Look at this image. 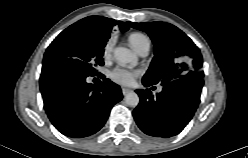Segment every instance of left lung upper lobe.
Wrapping results in <instances>:
<instances>
[{
    "label": "left lung upper lobe",
    "instance_id": "5c2ea615",
    "mask_svg": "<svg viewBox=\"0 0 248 158\" xmlns=\"http://www.w3.org/2000/svg\"><path fill=\"white\" fill-rule=\"evenodd\" d=\"M146 32L154 43V58L143 79L153 84L183 78H201L203 57L194 42L176 26L165 22H128Z\"/></svg>",
    "mask_w": 248,
    "mask_h": 158
}]
</instances>
